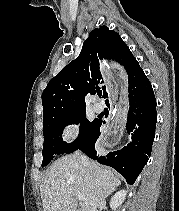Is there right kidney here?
<instances>
[{
    "instance_id": "obj_1",
    "label": "right kidney",
    "mask_w": 179,
    "mask_h": 211,
    "mask_svg": "<svg viewBox=\"0 0 179 211\" xmlns=\"http://www.w3.org/2000/svg\"><path fill=\"white\" fill-rule=\"evenodd\" d=\"M126 198V191L120 190L116 192L110 201V207L116 211V209L124 202Z\"/></svg>"
}]
</instances>
